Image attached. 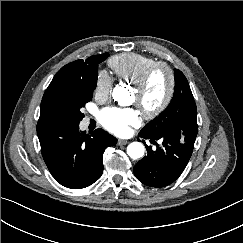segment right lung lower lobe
Masks as SVG:
<instances>
[{"mask_svg": "<svg viewBox=\"0 0 243 243\" xmlns=\"http://www.w3.org/2000/svg\"><path fill=\"white\" fill-rule=\"evenodd\" d=\"M37 133L52 176L71 189L88 187L101 177L103 153L117 142L101 129L86 134L79 124L38 123Z\"/></svg>", "mask_w": 243, "mask_h": 243, "instance_id": "1", "label": "right lung lower lobe"}]
</instances>
